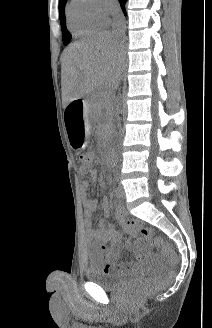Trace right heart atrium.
Wrapping results in <instances>:
<instances>
[{
	"label": "right heart atrium",
	"instance_id": "1",
	"mask_svg": "<svg viewBox=\"0 0 212 328\" xmlns=\"http://www.w3.org/2000/svg\"><path fill=\"white\" fill-rule=\"evenodd\" d=\"M93 14L107 23L110 15L116 10L115 0H89Z\"/></svg>",
	"mask_w": 212,
	"mask_h": 328
}]
</instances>
